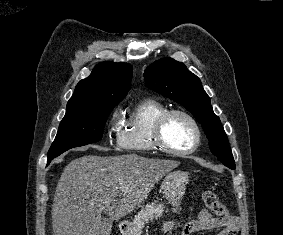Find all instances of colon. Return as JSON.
Returning <instances> with one entry per match:
<instances>
[{
  "instance_id": "1",
  "label": "colon",
  "mask_w": 283,
  "mask_h": 235,
  "mask_svg": "<svg viewBox=\"0 0 283 235\" xmlns=\"http://www.w3.org/2000/svg\"><path fill=\"white\" fill-rule=\"evenodd\" d=\"M203 200L206 207L209 208L213 213L223 218L228 217V210L226 206L218 199L217 195L213 191H204Z\"/></svg>"
}]
</instances>
